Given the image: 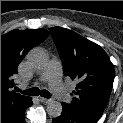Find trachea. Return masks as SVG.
I'll return each mask as SVG.
<instances>
[{"mask_svg":"<svg viewBox=\"0 0 123 123\" xmlns=\"http://www.w3.org/2000/svg\"><path fill=\"white\" fill-rule=\"evenodd\" d=\"M24 94L26 95H30V96H42L44 98H49L50 97V93L47 90H40L38 87H33L30 89H27L25 91H23Z\"/></svg>","mask_w":123,"mask_h":123,"instance_id":"1","label":"trachea"}]
</instances>
